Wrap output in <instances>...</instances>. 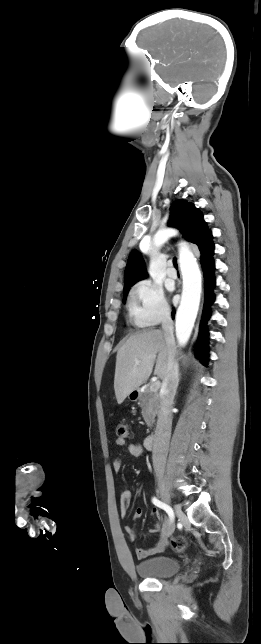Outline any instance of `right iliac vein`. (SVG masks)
Wrapping results in <instances>:
<instances>
[{
	"label": "right iliac vein",
	"instance_id": "obj_1",
	"mask_svg": "<svg viewBox=\"0 0 261 644\" xmlns=\"http://www.w3.org/2000/svg\"><path fill=\"white\" fill-rule=\"evenodd\" d=\"M158 486H159V493H160V495H161V497H162L163 501H164V502H166V503H170V496H169V494H168V492H167V489H166V487H165L164 481H163L162 479H160V478H159V480H158ZM175 511H176L177 516H181V515H182V512H181V510H180L179 508H175ZM174 529H175V524H174V522L172 521V522H171L168 526H166V527H165V529L163 530V536H164V537H169V536H170V535H172V533L174 532Z\"/></svg>",
	"mask_w": 261,
	"mask_h": 644
}]
</instances>
